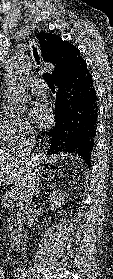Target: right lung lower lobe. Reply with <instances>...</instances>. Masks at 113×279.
Returning <instances> with one entry per match:
<instances>
[{
  "instance_id": "obj_1",
  "label": "right lung lower lobe",
  "mask_w": 113,
  "mask_h": 279,
  "mask_svg": "<svg viewBox=\"0 0 113 279\" xmlns=\"http://www.w3.org/2000/svg\"><path fill=\"white\" fill-rule=\"evenodd\" d=\"M57 86L55 126L46 132L48 153L78 154L90 166L97 129V97L86 62L75 73L54 82Z\"/></svg>"
}]
</instances>
